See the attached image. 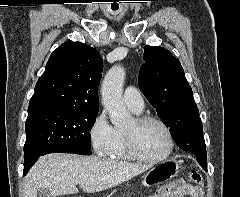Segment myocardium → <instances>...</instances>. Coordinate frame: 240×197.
<instances>
[{"mask_svg":"<svg viewBox=\"0 0 240 197\" xmlns=\"http://www.w3.org/2000/svg\"><path fill=\"white\" fill-rule=\"evenodd\" d=\"M147 122H156L159 125L162 126V128L165 130L168 138V149L166 153L160 157L157 158H152L147 155H145L140 148L138 147L137 141H136V136H135V131H127L124 130V136H125V142L128 151L130 154L138 160L147 162V163H160L168 158L173 154L174 148H175V140L173 136V132L170 128V126L160 117L151 115V114H142L138 115L134 118V123L136 126H141Z\"/></svg>","mask_w":240,"mask_h":197,"instance_id":"myocardium-1","label":"myocardium"}]
</instances>
